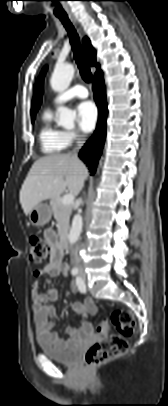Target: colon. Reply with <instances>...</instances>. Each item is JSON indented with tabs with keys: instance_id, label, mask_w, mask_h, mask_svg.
<instances>
[{
	"instance_id": "5ec220e1",
	"label": "colon",
	"mask_w": 168,
	"mask_h": 406,
	"mask_svg": "<svg viewBox=\"0 0 168 406\" xmlns=\"http://www.w3.org/2000/svg\"><path fill=\"white\" fill-rule=\"evenodd\" d=\"M52 247L47 240L37 235L29 238V257L32 263L40 264L51 256ZM113 326L118 334L109 333ZM97 330L104 337L96 341L88 349L84 365L86 367L96 366L122 356L128 349L127 337L134 334L136 320L134 315L127 310L114 311L109 319L98 324Z\"/></svg>"
}]
</instances>
